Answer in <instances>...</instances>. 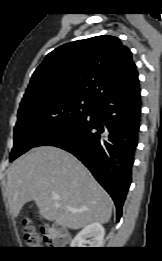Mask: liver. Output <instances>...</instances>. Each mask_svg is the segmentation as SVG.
I'll list each match as a JSON object with an SVG mask.
<instances>
[{
    "mask_svg": "<svg viewBox=\"0 0 162 261\" xmlns=\"http://www.w3.org/2000/svg\"><path fill=\"white\" fill-rule=\"evenodd\" d=\"M6 190L14 217L32 200L43 218L74 230L94 222L105 224L112 214L110 196L89 170L72 154L53 146L34 148L15 160ZM54 194L60 199H54Z\"/></svg>",
    "mask_w": 162,
    "mask_h": 261,
    "instance_id": "liver-1",
    "label": "liver"
}]
</instances>
